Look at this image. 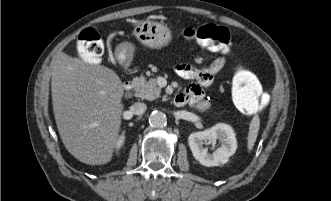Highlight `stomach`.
<instances>
[{
    "label": "stomach",
    "instance_id": "stomach-1",
    "mask_svg": "<svg viewBox=\"0 0 331 201\" xmlns=\"http://www.w3.org/2000/svg\"><path fill=\"white\" fill-rule=\"evenodd\" d=\"M133 35L136 39L152 49H160L167 46L172 39L170 30L161 23L142 20L138 22L133 30ZM135 51V47L132 43L124 41L116 50V56L119 62L123 65H127Z\"/></svg>",
    "mask_w": 331,
    "mask_h": 201
}]
</instances>
